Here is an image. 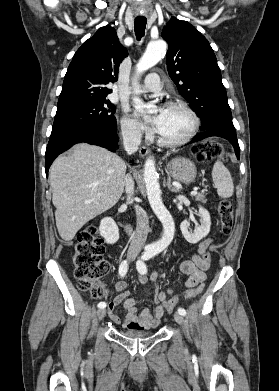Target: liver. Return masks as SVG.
I'll use <instances>...</instances> for the list:
<instances>
[{
	"instance_id": "1",
	"label": "liver",
	"mask_w": 279,
	"mask_h": 391,
	"mask_svg": "<svg viewBox=\"0 0 279 391\" xmlns=\"http://www.w3.org/2000/svg\"><path fill=\"white\" fill-rule=\"evenodd\" d=\"M126 164L109 150L85 143L58 157L49 171L60 237L71 241L91 219L112 208L124 190Z\"/></svg>"
}]
</instances>
